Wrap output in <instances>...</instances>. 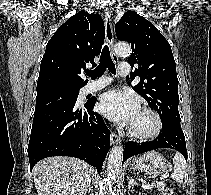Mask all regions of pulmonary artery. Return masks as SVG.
Listing matches in <instances>:
<instances>
[{
    "label": "pulmonary artery",
    "instance_id": "e3ab8cb5",
    "mask_svg": "<svg viewBox=\"0 0 211 195\" xmlns=\"http://www.w3.org/2000/svg\"><path fill=\"white\" fill-rule=\"evenodd\" d=\"M119 74L121 76H126L130 72V65L127 63H121L118 66ZM111 83V79L108 77H101L86 86V91L87 92H94L97 90H100L106 86H108Z\"/></svg>",
    "mask_w": 211,
    "mask_h": 195
}]
</instances>
